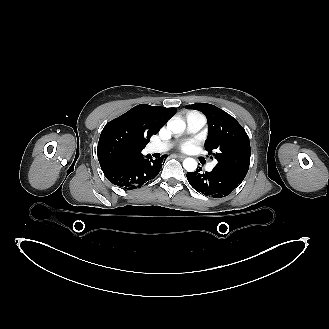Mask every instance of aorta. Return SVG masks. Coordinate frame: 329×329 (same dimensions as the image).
I'll list each match as a JSON object with an SVG mask.
<instances>
[{"label": "aorta", "mask_w": 329, "mask_h": 329, "mask_svg": "<svg viewBox=\"0 0 329 329\" xmlns=\"http://www.w3.org/2000/svg\"><path fill=\"white\" fill-rule=\"evenodd\" d=\"M186 124L181 119L169 120L167 128L173 133H181L185 130ZM197 161L193 158H186L183 161V167L188 172H194L197 169Z\"/></svg>", "instance_id": "762f6f07"}]
</instances>
